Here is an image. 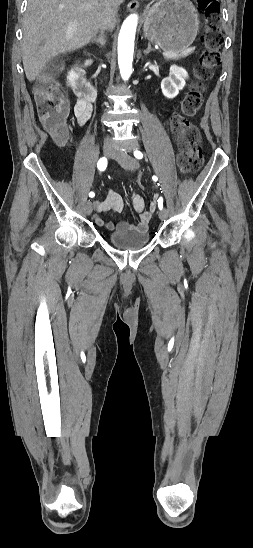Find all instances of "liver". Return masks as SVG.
Masks as SVG:
<instances>
[{
    "label": "liver",
    "instance_id": "6515ba94",
    "mask_svg": "<svg viewBox=\"0 0 253 548\" xmlns=\"http://www.w3.org/2000/svg\"><path fill=\"white\" fill-rule=\"evenodd\" d=\"M103 11L104 0H28L21 47L28 81H34L56 56L92 41Z\"/></svg>",
    "mask_w": 253,
    "mask_h": 548
}]
</instances>
